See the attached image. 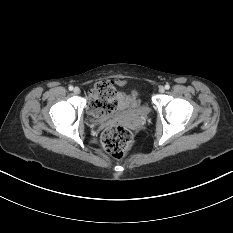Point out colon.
<instances>
[{
	"label": "colon",
	"instance_id": "5ec220e1",
	"mask_svg": "<svg viewBox=\"0 0 233 233\" xmlns=\"http://www.w3.org/2000/svg\"><path fill=\"white\" fill-rule=\"evenodd\" d=\"M117 108V93L113 85L108 81L98 83L93 90L90 102L91 111L103 116L112 113ZM131 140V131L121 124H113L107 127L101 135L103 148L116 159H121L127 153Z\"/></svg>",
	"mask_w": 233,
	"mask_h": 233
}]
</instances>
